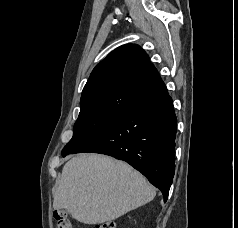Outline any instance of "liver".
<instances>
[{
  "label": "liver",
  "mask_w": 238,
  "mask_h": 228,
  "mask_svg": "<svg viewBox=\"0 0 238 228\" xmlns=\"http://www.w3.org/2000/svg\"><path fill=\"white\" fill-rule=\"evenodd\" d=\"M155 189L123 161L83 154L63 167L53 193L54 209H67L84 224L112 221L152 201Z\"/></svg>",
  "instance_id": "liver-1"
}]
</instances>
